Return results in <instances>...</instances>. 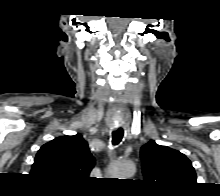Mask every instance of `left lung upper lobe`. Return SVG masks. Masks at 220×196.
<instances>
[{"instance_id": "obj_1", "label": "left lung upper lobe", "mask_w": 220, "mask_h": 196, "mask_svg": "<svg viewBox=\"0 0 220 196\" xmlns=\"http://www.w3.org/2000/svg\"><path fill=\"white\" fill-rule=\"evenodd\" d=\"M146 182L160 192L177 194L196 185V174L190 160L177 150L151 140L141 148Z\"/></svg>"}]
</instances>
